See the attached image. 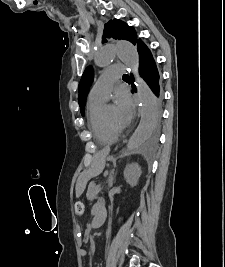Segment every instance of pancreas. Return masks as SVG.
Masks as SVG:
<instances>
[{"label": "pancreas", "instance_id": "cf45deb5", "mask_svg": "<svg viewBox=\"0 0 225 267\" xmlns=\"http://www.w3.org/2000/svg\"><path fill=\"white\" fill-rule=\"evenodd\" d=\"M99 191H100V186H96L94 182H91L88 186V190L86 193L87 199L88 200L94 199Z\"/></svg>", "mask_w": 225, "mask_h": 267}]
</instances>
